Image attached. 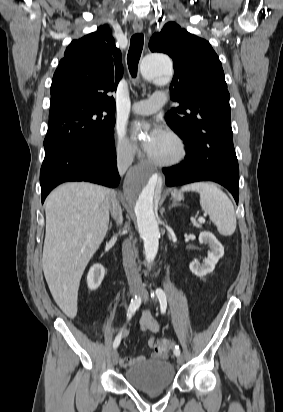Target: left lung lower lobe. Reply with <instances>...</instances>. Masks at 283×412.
I'll use <instances>...</instances> for the list:
<instances>
[{
  "mask_svg": "<svg viewBox=\"0 0 283 412\" xmlns=\"http://www.w3.org/2000/svg\"><path fill=\"white\" fill-rule=\"evenodd\" d=\"M184 143L187 150L185 160L176 166L164 168L168 186L182 185L196 181H215L226 187L238 203L239 173L229 172L210 157L200 141L193 135H186Z\"/></svg>",
  "mask_w": 283,
  "mask_h": 412,
  "instance_id": "left-lung-lower-lobe-1",
  "label": "left lung lower lobe"
}]
</instances>
